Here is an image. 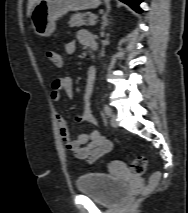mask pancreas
Here are the masks:
<instances>
[{
    "mask_svg": "<svg viewBox=\"0 0 188 213\" xmlns=\"http://www.w3.org/2000/svg\"><path fill=\"white\" fill-rule=\"evenodd\" d=\"M87 16L93 17L91 13H75L71 16L69 21L70 27H81L86 25L87 20L85 19Z\"/></svg>",
    "mask_w": 188,
    "mask_h": 213,
    "instance_id": "1",
    "label": "pancreas"
}]
</instances>
